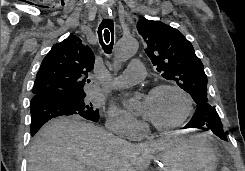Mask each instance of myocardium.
Masks as SVG:
<instances>
[{
	"instance_id": "1",
	"label": "myocardium",
	"mask_w": 245,
	"mask_h": 171,
	"mask_svg": "<svg viewBox=\"0 0 245 171\" xmlns=\"http://www.w3.org/2000/svg\"><path fill=\"white\" fill-rule=\"evenodd\" d=\"M164 90H174L178 92L185 102L184 112L182 113L181 117L175 122L167 124V125H160V124L150 121L151 126L155 128L156 130L170 131V130H173L181 126L190 117L193 111V102H192L190 95L181 86L176 85V84L165 83V84L156 85L149 91V95L155 94V93H158Z\"/></svg>"
}]
</instances>
